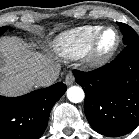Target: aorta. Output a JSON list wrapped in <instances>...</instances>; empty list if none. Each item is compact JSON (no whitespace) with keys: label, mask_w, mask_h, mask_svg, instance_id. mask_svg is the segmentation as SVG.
Masks as SVG:
<instances>
[{"label":"aorta","mask_w":139,"mask_h":139,"mask_svg":"<svg viewBox=\"0 0 139 139\" xmlns=\"http://www.w3.org/2000/svg\"><path fill=\"white\" fill-rule=\"evenodd\" d=\"M85 94L81 87L79 86H71L67 90V98L72 103H80L84 100Z\"/></svg>","instance_id":"aorta-1"}]
</instances>
